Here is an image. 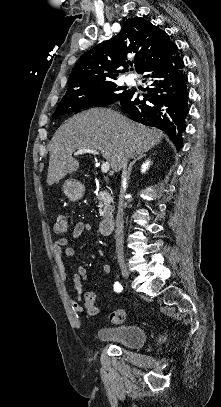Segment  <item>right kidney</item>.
Masks as SVG:
<instances>
[{"label":"right kidney","instance_id":"ca27d5eb","mask_svg":"<svg viewBox=\"0 0 221 407\" xmlns=\"http://www.w3.org/2000/svg\"><path fill=\"white\" fill-rule=\"evenodd\" d=\"M149 165H150V161H149V160H147L145 163H143L142 166H141V172H142V173H145L146 170H148Z\"/></svg>","mask_w":221,"mask_h":407}]
</instances>
